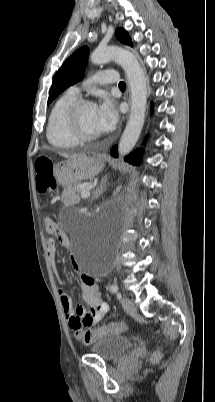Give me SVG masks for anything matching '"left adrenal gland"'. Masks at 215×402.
Wrapping results in <instances>:
<instances>
[{"label":"left adrenal gland","mask_w":215,"mask_h":402,"mask_svg":"<svg viewBox=\"0 0 215 402\" xmlns=\"http://www.w3.org/2000/svg\"><path fill=\"white\" fill-rule=\"evenodd\" d=\"M107 187V176H105L104 178H102L100 185L96 188V190L93 192L92 194V200L93 199H97L99 198L100 195L103 194V192L105 191Z\"/></svg>","instance_id":"obj_1"}]
</instances>
